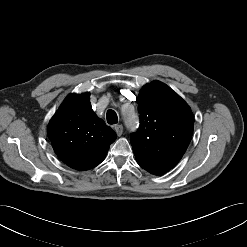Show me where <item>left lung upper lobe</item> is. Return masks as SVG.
Masks as SVG:
<instances>
[{"label":"left lung upper lobe","instance_id":"1","mask_svg":"<svg viewBox=\"0 0 247 247\" xmlns=\"http://www.w3.org/2000/svg\"><path fill=\"white\" fill-rule=\"evenodd\" d=\"M140 128L130 142L137 163L152 174L173 168L185 153L194 128L190 107L166 84L153 81L138 96Z\"/></svg>","mask_w":247,"mask_h":247}]
</instances>
